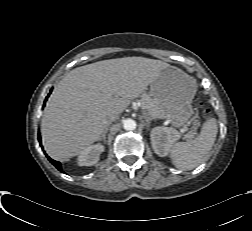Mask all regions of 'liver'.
I'll return each instance as SVG.
<instances>
[{"mask_svg": "<svg viewBox=\"0 0 252 231\" xmlns=\"http://www.w3.org/2000/svg\"><path fill=\"white\" fill-rule=\"evenodd\" d=\"M168 66L160 60L124 57L71 70L54 88L42 117L47 154L66 161L100 140L107 117L122 113Z\"/></svg>", "mask_w": 252, "mask_h": 231, "instance_id": "6515ba94", "label": "liver"}]
</instances>
